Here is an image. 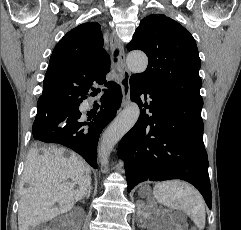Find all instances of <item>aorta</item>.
Masks as SVG:
<instances>
[{"mask_svg":"<svg viewBox=\"0 0 241 230\" xmlns=\"http://www.w3.org/2000/svg\"><path fill=\"white\" fill-rule=\"evenodd\" d=\"M131 72L142 73L148 65V58L142 52H131L127 56ZM140 115L139 107L133 103L126 107L103 134L99 147V160L102 166L108 163L109 155L118 141L135 125Z\"/></svg>","mask_w":241,"mask_h":230,"instance_id":"aorta-1","label":"aorta"}]
</instances>
